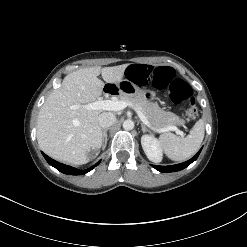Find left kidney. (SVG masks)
Wrapping results in <instances>:
<instances>
[{
    "label": "left kidney",
    "mask_w": 247,
    "mask_h": 247,
    "mask_svg": "<svg viewBox=\"0 0 247 247\" xmlns=\"http://www.w3.org/2000/svg\"><path fill=\"white\" fill-rule=\"evenodd\" d=\"M141 145L147 156V158L155 163H159L162 160V148L161 144L153 135H143L141 137Z\"/></svg>",
    "instance_id": "5707ae66"
}]
</instances>
